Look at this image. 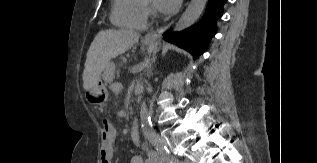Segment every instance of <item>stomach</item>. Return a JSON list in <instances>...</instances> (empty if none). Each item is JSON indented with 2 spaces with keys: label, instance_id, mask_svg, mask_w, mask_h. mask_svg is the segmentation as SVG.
Segmentation results:
<instances>
[{
  "label": "stomach",
  "instance_id": "0dacf381",
  "mask_svg": "<svg viewBox=\"0 0 317 163\" xmlns=\"http://www.w3.org/2000/svg\"><path fill=\"white\" fill-rule=\"evenodd\" d=\"M148 45L149 43H145ZM108 99V92L106 89L105 84L99 80L98 83L87 92V100L90 104L101 106L103 105Z\"/></svg>",
  "mask_w": 317,
  "mask_h": 163
}]
</instances>
